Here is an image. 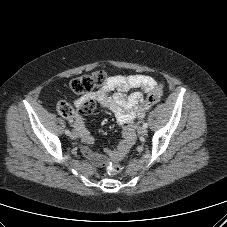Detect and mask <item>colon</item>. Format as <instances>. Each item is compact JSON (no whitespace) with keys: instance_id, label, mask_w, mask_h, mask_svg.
Listing matches in <instances>:
<instances>
[{"instance_id":"5ec220e1","label":"colon","mask_w":227,"mask_h":227,"mask_svg":"<svg viewBox=\"0 0 227 227\" xmlns=\"http://www.w3.org/2000/svg\"><path fill=\"white\" fill-rule=\"evenodd\" d=\"M107 81V75L104 71L98 70L90 75H84L75 78L71 81V90L76 94H88L95 88L102 87ZM163 94V83H158L155 88L148 94L146 101L139 108L137 118L141 120L145 113L161 98ZM58 113L65 117L70 118L74 111L73 108L65 101H61L57 105ZM107 171L111 175H117L122 171V166L118 162L110 163Z\"/></svg>"}]
</instances>
